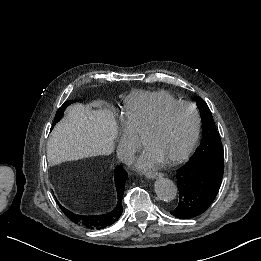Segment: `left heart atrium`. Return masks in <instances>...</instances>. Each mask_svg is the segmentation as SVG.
Masks as SVG:
<instances>
[{"label":"left heart atrium","mask_w":261,"mask_h":261,"mask_svg":"<svg viewBox=\"0 0 261 261\" xmlns=\"http://www.w3.org/2000/svg\"><path fill=\"white\" fill-rule=\"evenodd\" d=\"M136 145L141 149V154L136 160V167L138 169L150 168L159 161L160 158L147 144L138 139Z\"/></svg>","instance_id":"39dd6f15"}]
</instances>
